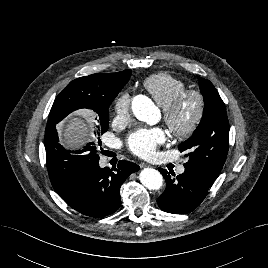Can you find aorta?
Returning <instances> with one entry per match:
<instances>
[{"label": "aorta", "instance_id": "aorta-1", "mask_svg": "<svg viewBox=\"0 0 268 268\" xmlns=\"http://www.w3.org/2000/svg\"><path fill=\"white\" fill-rule=\"evenodd\" d=\"M132 110L140 121L154 125L159 121L160 112L154 103L146 96L138 95L133 98ZM140 182L150 190L160 189L163 185L162 175L153 168H145L139 174Z\"/></svg>", "mask_w": 268, "mask_h": 268}]
</instances>
